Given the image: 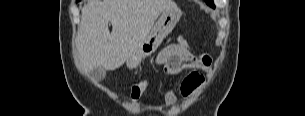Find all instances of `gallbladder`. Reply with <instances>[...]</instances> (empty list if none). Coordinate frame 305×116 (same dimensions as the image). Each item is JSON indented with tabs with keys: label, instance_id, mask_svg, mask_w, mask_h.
<instances>
[{
	"label": "gallbladder",
	"instance_id": "1",
	"mask_svg": "<svg viewBox=\"0 0 305 116\" xmlns=\"http://www.w3.org/2000/svg\"><path fill=\"white\" fill-rule=\"evenodd\" d=\"M106 76V70L103 67L95 68L90 71V77L94 81H102Z\"/></svg>",
	"mask_w": 305,
	"mask_h": 116
}]
</instances>
